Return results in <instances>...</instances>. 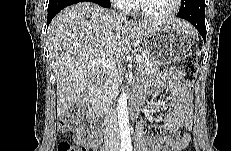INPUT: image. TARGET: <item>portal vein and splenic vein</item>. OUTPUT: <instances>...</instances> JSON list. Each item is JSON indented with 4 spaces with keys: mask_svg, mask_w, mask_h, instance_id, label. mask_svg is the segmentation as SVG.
<instances>
[{
    "mask_svg": "<svg viewBox=\"0 0 231 151\" xmlns=\"http://www.w3.org/2000/svg\"><path fill=\"white\" fill-rule=\"evenodd\" d=\"M142 60V56L141 55H137L136 56V61L140 62ZM92 65H102L103 67H105L106 69H108L109 71H117L116 65L112 64L109 61L106 60H101V59H95L91 62Z\"/></svg>",
    "mask_w": 231,
    "mask_h": 151,
    "instance_id": "1",
    "label": "portal vein and splenic vein"
}]
</instances>
